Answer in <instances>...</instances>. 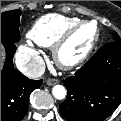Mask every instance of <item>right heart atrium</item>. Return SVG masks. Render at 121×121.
Instances as JSON below:
<instances>
[{"label": "right heart atrium", "mask_w": 121, "mask_h": 121, "mask_svg": "<svg viewBox=\"0 0 121 121\" xmlns=\"http://www.w3.org/2000/svg\"><path fill=\"white\" fill-rule=\"evenodd\" d=\"M16 62L20 70L25 73H35L42 65L38 51L27 43L19 46Z\"/></svg>", "instance_id": "obj_1"}]
</instances>
